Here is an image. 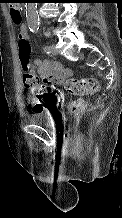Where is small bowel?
<instances>
[{"label": "small bowel", "mask_w": 122, "mask_h": 218, "mask_svg": "<svg viewBox=\"0 0 122 218\" xmlns=\"http://www.w3.org/2000/svg\"><path fill=\"white\" fill-rule=\"evenodd\" d=\"M20 30L27 33L25 25ZM39 79L45 85H63L71 77V70L52 60L36 59L32 62Z\"/></svg>", "instance_id": "obj_1"}]
</instances>
